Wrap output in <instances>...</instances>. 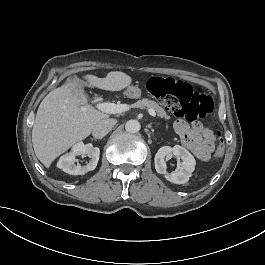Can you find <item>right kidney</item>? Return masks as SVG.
I'll return each mask as SVG.
<instances>
[{"instance_id":"obj_1","label":"right kidney","mask_w":265,"mask_h":265,"mask_svg":"<svg viewBox=\"0 0 265 265\" xmlns=\"http://www.w3.org/2000/svg\"><path fill=\"white\" fill-rule=\"evenodd\" d=\"M89 156L91 159L89 163L85 166L80 164H75L76 156ZM100 155V149L94 147L91 143L84 144L83 142H78L73 145L70 153H67L60 157L57 167L62 169L64 172L70 175H84L85 173L92 171L96 168Z\"/></svg>"}]
</instances>
